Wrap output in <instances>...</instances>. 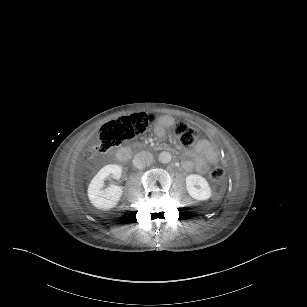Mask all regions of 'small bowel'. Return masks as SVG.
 I'll return each instance as SVG.
<instances>
[{
  "label": "small bowel",
  "instance_id": "obj_1",
  "mask_svg": "<svg viewBox=\"0 0 307 307\" xmlns=\"http://www.w3.org/2000/svg\"><path fill=\"white\" fill-rule=\"evenodd\" d=\"M186 155L192 158V160L183 161L182 165L186 171L195 169L199 173H206L209 165L218 160L217 151L206 139L198 141L193 149L186 151Z\"/></svg>",
  "mask_w": 307,
  "mask_h": 307
}]
</instances>
